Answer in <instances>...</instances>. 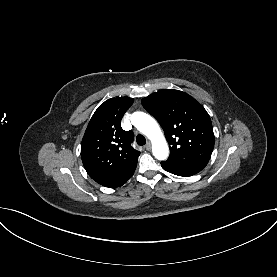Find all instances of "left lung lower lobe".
<instances>
[{
    "mask_svg": "<svg viewBox=\"0 0 277 277\" xmlns=\"http://www.w3.org/2000/svg\"><path fill=\"white\" fill-rule=\"evenodd\" d=\"M161 166L166 171L183 177L192 176L200 172L205 166L192 165V164H171L161 162Z\"/></svg>",
    "mask_w": 277,
    "mask_h": 277,
    "instance_id": "left-lung-lower-lobe-1",
    "label": "left lung lower lobe"
}]
</instances>
